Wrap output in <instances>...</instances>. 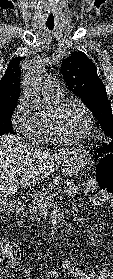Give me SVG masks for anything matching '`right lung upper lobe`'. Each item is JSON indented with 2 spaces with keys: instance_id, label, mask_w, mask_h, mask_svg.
I'll list each match as a JSON object with an SVG mask.
<instances>
[{
  "instance_id": "cb5924a9",
  "label": "right lung upper lobe",
  "mask_w": 113,
  "mask_h": 279,
  "mask_svg": "<svg viewBox=\"0 0 113 279\" xmlns=\"http://www.w3.org/2000/svg\"><path fill=\"white\" fill-rule=\"evenodd\" d=\"M21 59V57L13 58L5 71V75L0 80V110L15 107L20 96V72L18 64Z\"/></svg>"
}]
</instances>
